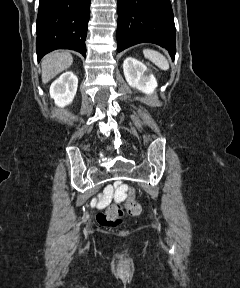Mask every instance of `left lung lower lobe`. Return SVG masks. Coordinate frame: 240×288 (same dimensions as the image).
Segmentation results:
<instances>
[{
    "label": "left lung lower lobe",
    "mask_w": 240,
    "mask_h": 288,
    "mask_svg": "<svg viewBox=\"0 0 240 288\" xmlns=\"http://www.w3.org/2000/svg\"><path fill=\"white\" fill-rule=\"evenodd\" d=\"M117 51L138 43H155L176 53L170 0H117Z\"/></svg>",
    "instance_id": "obj_1"
}]
</instances>
